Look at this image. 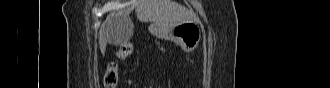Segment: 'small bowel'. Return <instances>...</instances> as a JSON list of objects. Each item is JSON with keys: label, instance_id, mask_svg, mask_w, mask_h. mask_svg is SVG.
Instances as JSON below:
<instances>
[{"label": "small bowel", "instance_id": "small-bowel-1", "mask_svg": "<svg viewBox=\"0 0 330 88\" xmlns=\"http://www.w3.org/2000/svg\"><path fill=\"white\" fill-rule=\"evenodd\" d=\"M132 50H133V48H132ZM132 50L129 51V50L126 48L125 44H121L120 47H119V50H118V54H119L120 56H126V57H127L129 54H131Z\"/></svg>", "mask_w": 330, "mask_h": 88}]
</instances>
